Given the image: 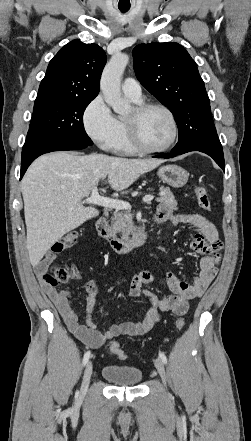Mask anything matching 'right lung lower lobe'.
<instances>
[{
	"mask_svg": "<svg viewBox=\"0 0 251 441\" xmlns=\"http://www.w3.org/2000/svg\"><path fill=\"white\" fill-rule=\"evenodd\" d=\"M89 146L90 145L61 142L55 138L36 133L27 134V138L22 149L20 179L23 177L29 165L42 154L62 150H79Z\"/></svg>",
	"mask_w": 251,
	"mask_h": 441,
	"instance_id": "98d812e1",
	"label": "right lung lower lobe"
}]
</instances>
